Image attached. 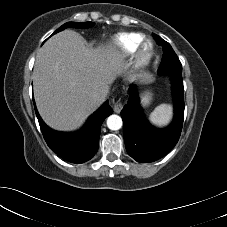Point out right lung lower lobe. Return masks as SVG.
<instances>
[{
  "instance_id": "98d812e1",
  "label": "right lung lower lobe",
  "mask_w": 227,
  "mask_h": 227,
  "mask_svg": "<svg viewBox=\"0 0 227 227\" xmlns=\"http://www.w3.org/2000/svg\"><path fill=\"white\" fill-rule=\"evenodd\" d=\"M35 107V103H34ZM36 116L43 137L51 150L71 163H84L97 152L101 125L106 117L112 114L108 101L92 114L85 127L78 132H58L49 128L41 119L35 107Z\"/></svg>"
}]
</instances>
